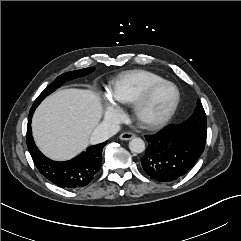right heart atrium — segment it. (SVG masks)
Segmentation results:
<instances>
[{
    "label": "right heart atrium",
    "mask_w": 241,
    "mask_h": 241,
    "mask_svg": "<svg viewBox=\"0 0 241 241\" xmlns=\"http://www.w3.org/2000/svg\"><path fill=\"white\" fill-rule=\"evenodd\" d=\"M107 116L110 119L117 120V119L121 118L122 111H121V109H120V107L118 105H116L115 103L111 102L110 106H109V109H108V112H107Z\"/></svg>",
    "instance_id": "right-heart-atrium-1"
}]
</instances>
